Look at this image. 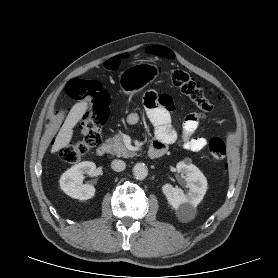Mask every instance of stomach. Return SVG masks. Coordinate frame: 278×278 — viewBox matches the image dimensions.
Segmentation results:
<instances>
[{
	"label": "stomach",
	"instance_id": "stomach-1",
	"mask_svg": "<svg viewBox=\"0 0 278 278\" xmlns=\"http://www.w3.org/2000/svg\"><path fill=\"white\" fill-rule=\"evenodd\" d=\"M158 74V67L154 64L135 63L120 74L119 84L124 93L133 95L153 82Z\"/></svg>",
	"mask_w": 278,
	"mask_h": 278
}]
</instances>
